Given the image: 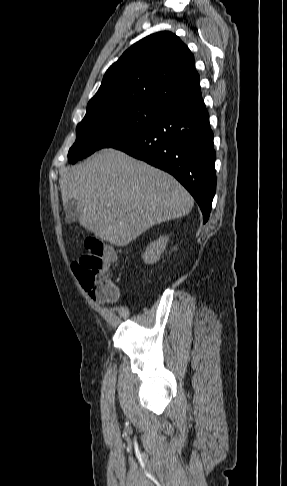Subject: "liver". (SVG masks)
<instances>
[{
  "label": "liver",
  "instance_id": "6515ba94",
  "mask_svg": "<svg viewBox=\"0 0 287 486\" xmlns=\"http://www.w3.org/2000/svg\"><path fill=\"white\" fill-rule=\"evenodd\" d=\"M59 184L63 204L77 202L80 225L114 246L189 214L194 204L173 176L112 148L63 169Z\"/></svg>",
  "mask_w": 287,
  "mask_h": 486
}]
</instances>
